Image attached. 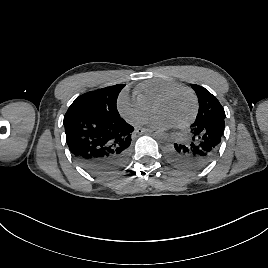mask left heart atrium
I'll use <instances>...</instances> for the list:
<instances>
[{
	"mask_svg": "<svg viewBox=\"0 0 268 268\" xmlns=\"http://www.w3.org/2000/svg\"><path fill=\"white\" fill-rule=\"evenodd\" d=\"M152 125L159 129H167L173 126V124L166 118L156 115L152 121Z\"/></svg>",
	"mask_w": 268,
	"mask_h": 268,
	"instance_id": "left-heart-atrium-1",
	"label": "left heart atrium"
}]
</instances>
